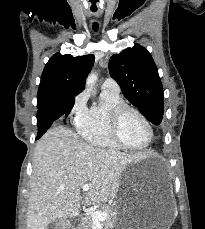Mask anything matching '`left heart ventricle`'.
<instances>
[{
  "label": "left heart ventricle",
  "mask_w": 205,
  "mask_h": 229,
  "mask_svg": "<svg viewBox=\"0 0 205 229\" xmlns=\"http://www.w3.org/2000/svg\"><path fill=\"white\" fill-rule=\"evenodd\" d=\"M120 135L127 145L140 147L147 142L149 134L144 122L136 114L128 112L121 121Z\"/></svg>",
  "instance_id": "obj_1"
}]
</instances>
